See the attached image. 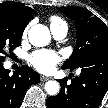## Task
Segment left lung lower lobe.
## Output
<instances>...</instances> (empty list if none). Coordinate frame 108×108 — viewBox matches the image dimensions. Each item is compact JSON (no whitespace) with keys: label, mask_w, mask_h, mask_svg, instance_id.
Segmentation results:
<instances>
[{"label":"left lung lower lobe","mask_w":108,"mask_h":108,"mask_svg":"<svg viewBox=\"0 0 108 108\" xmlns=\"http://www.w3.org/2000/svg\"><path fill=\"white\" fill-rule=\"evenodd\" d=\"M80 77L60 80L58 95L47 99L48 108H98L108 91V60L102 65H86Z\"/></svg>","instance_id":"0a47b994"}]
</instances>
